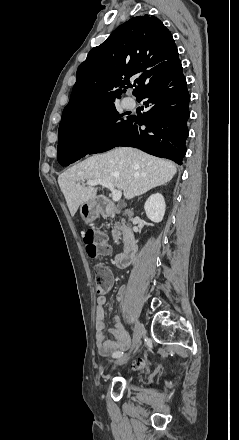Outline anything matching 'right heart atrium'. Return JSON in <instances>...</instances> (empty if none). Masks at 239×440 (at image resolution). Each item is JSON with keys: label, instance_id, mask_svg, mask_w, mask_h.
I'll return each instance as SVG.
<instances>
[{"label": "right heart atrium", "instance_id": "1", "mask_svg": "<svg viewBox=\"0 0 239 440\" xmlns=\"http://www.w3.org/2000/svg\"><path fill=\"white\" fill-rule=\"evenodd\" d=\"M91 139L95 141L105 140L109 136L108 126L105 123H100L93 127L90 133Z\"/></svg>", "mask_w": 239, "mask_h": 440}]
</instances>
